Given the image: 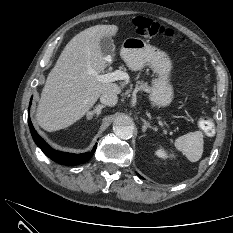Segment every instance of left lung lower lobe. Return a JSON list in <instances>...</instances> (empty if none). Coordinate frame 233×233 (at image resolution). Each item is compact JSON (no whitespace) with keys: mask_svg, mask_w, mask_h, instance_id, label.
I'll return each instance as SVG.
<instances>
[{"mask_svg":"<svg viewBox=\"0 0 233 233\" xmlns=\"http://www.w3.org/2000/svg\"><path fill=\"white\" fill-rule=\"evenodd\" d=\"M140 178H142L139 174H137Z\"/></svg>","mask_w":233,"mask_h":233,"instance_id":"0a47b994","label":"left lung lower lobe"}]
</instances>
